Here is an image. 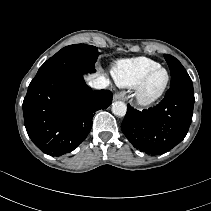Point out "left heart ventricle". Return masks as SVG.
Here are the masks:
<instances>
[{"label":"left heart ventricle","instance_id":"obj_1","mask_svg":"<svg viewBox=\"0 0 211 211\" xmlns=\"http://www.w3.org/2000/svg\"><path fill=\"white\" fill-rule=\"evenodd\" d=\"M166 79V73L164 71L156 72L149 81L148 90L149 92L157 91Z\"/></svg>","mask_w":211,"mask_h":211}]
</instances>
